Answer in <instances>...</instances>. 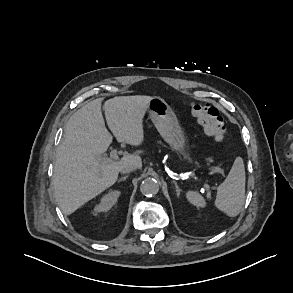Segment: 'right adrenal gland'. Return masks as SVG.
I'll return each instance as SVG.
<instances>
[{"label":"right adrenal gland","instance_id":"right-adrenal-gland-1","mask_svg":"<svg viewBox=\"0 0 293 293\" xmlns=\"http://www.w3.org/2000/svg\"><path fill=\"white\" fill-rule=\"evenodd\" d=\"M127 177H128V175H126V176H124V177H121V178L118 180V183H120L121 181H124V180H126V179H127Z\"/></svg>","mask_w":293,"mask_h":293}]
</instances>
